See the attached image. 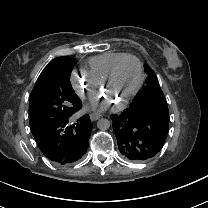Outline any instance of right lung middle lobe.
I'll return each mask as SVG.
<instances>
[{"mask_svg": "<svg viewBox=\"0 0 208 208\" xmlns=\"http://www.w3.org/2000/svg\"><path fill=\"white\" fill-rule=\"evenodd\" d=\"M74 63V58L57 57L42 71L30 96V123L71 115L80 109L81 101L70 83Z\"/></svg>", "mask_w": 208, "mask_h": 208, "instance_id": "1", "label": "right lung middle lobe"}]
</instances>
